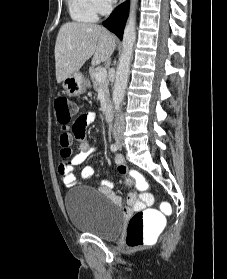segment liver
Segmentation results:
<instances>
[{
	"instance_id": "1",
	"label": "liver",
	"mask_w": 227,
	"mask_h": 279,
	"mask_svg": "<svg viewBox=\"0 0 227 279\" xmlns=\"http://www.w3.org/2000/svg\"><path fill=\"white\" fill-rule=\"evenodd\" d=\"M114 36L93 23L67 22L58 32L55 44L56 80L78 72L92 56V64L106 61L115 49Z\"/></svg>"
}]
</instances>
